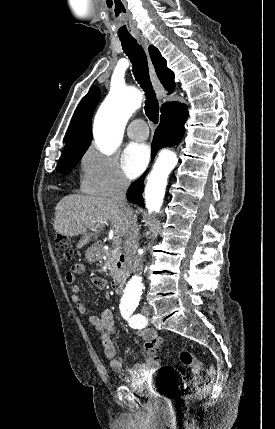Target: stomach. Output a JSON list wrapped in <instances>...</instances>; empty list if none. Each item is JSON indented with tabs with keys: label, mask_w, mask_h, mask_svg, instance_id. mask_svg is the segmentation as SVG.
<instances>
[{
	"label": "stomach",
	"mask_w": 275,
	"mask_h": 429,
	"mask_svg": "<svg viewBox=\"0 0 275 429\" xmlns=\"http://www.w3.org/2000/svg\"><path fill=\"white\" fill-rule=\"evenodd\" d=\"M86 259L88 262L93 263L100 259L101 252L98 245L94 244L86 250Z\"/></svg>",
	"instance_id": "obj_1"
}]
</instances>
